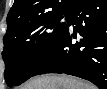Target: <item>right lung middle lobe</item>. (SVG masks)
Wrapping results in <instances>:
<instances>
[{"mask_svg":"<svg viewBox=\"0 0 107 89\" xmlns=\"http://www.w3.org/2000/svg\"><path fill=\"white\" fill-rule=\"evenodd\" d=\"M63 18L66 21H61ZM68 25L69 12H63L8 26L2 52L8 86L20 85L34 76Z\"/></svg>","mask_w":107,"mask_h":89,"instance_id":"right-lung-middle-lobe-1","label":"right lung middle lobe"}]
</instances>
